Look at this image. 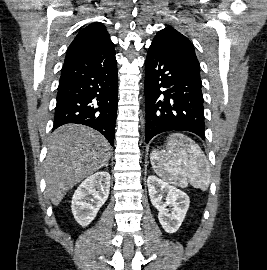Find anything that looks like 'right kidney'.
<instances>
[{
  "label": "right kidney",
  "mask_w": 267,
  "mask_h": 270,
  "mask_svg": "<svg viewBox=\"0 0 267 270\" xmlns=\"http://www.w3.org/2000/svg\"><path fill=\"white\" fill-rule=\"evenodd\" d=\"M110 191V174L97 172L87 177L77 188L72 198V213L81 226H88L106 202Z\"/></svg>",
  "instance_id": "obj_1"
}]
</instances>
